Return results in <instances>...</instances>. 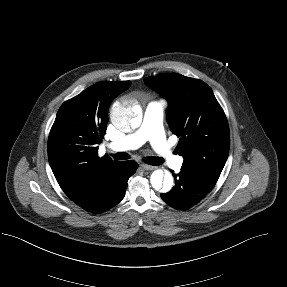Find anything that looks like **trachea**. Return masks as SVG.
I'll return each mask as SVG.
<instances>
[{
  "label": "trachea",
  "mask_w": 287,
  "mask_h": 287,
  "mask_svg": "<svg viewBox=\"0 0 287 287\" xmlns=\"http://www.w3.org/2000/svg\"><path fill=\"white\" fill-rule=\"evenodd\" d=\"M113 157L115 160H127L130 158L129 154L125 152H118ZM143 161L153 166H158L163 163V159H161L160 157H155V156L145 157Z\"/></svg>",
  "instance_id": "obj_1"
}]
</instances>
